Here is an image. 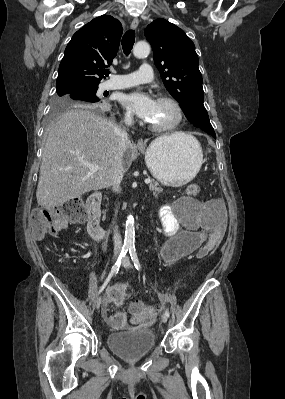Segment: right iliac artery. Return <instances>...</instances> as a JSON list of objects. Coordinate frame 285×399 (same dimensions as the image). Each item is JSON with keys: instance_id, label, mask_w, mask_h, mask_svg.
Wrapping results in <instances>:
<instances>
[{"instance_id": "1", "label": "right iliac artery", "mask_w": 285, "mask_h": 399, "mask_svg": "<svg viewBox=\"0 0 285 399\" xmlns=\"http://www.w3.org/2000/svg\"><path fill=\"white\" fill-rule=\"evenodd\" d=\"M127 252H128V248H122L121 253H120L116 263L113 265V267H112L108 277L104 281V283L100 286V288H99V290L97 292V295L101 294V292L105 289V287L107 286V284L111 280L112 276L118 273L120 265H121L124 257L126 256Z\"/></svg>"}]
</instances>
